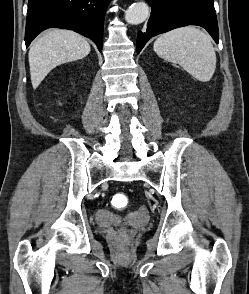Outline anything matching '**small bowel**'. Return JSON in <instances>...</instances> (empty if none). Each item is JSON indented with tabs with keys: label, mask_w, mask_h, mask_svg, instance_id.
Masks as SVG:
<instances>
[{
	"label": "small bowel",
	"mask_w": 249,
	"mask_h": 294,
	"mask_svg": "<svg viewBox=\"0 0 249 294\" xmlns=\"http://www.w3.org/2000/svg\"><path fill=\"white\" fill-rule=\"evenodd\" d=\"M137 217L140 219V220H144L146 218V214L144 213V211H140L137 215Z\"/></svg>",
	"instance_id": "1"
}]
</instances>
